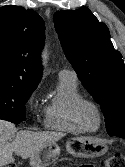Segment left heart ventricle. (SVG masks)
<instances>
[{"label":"left heart ventricle","mask_w":125,"mask_h":167,"mask_svg":"<svg viewBox=\"0 0 125 167\" xmlns=\"http://www.w3.org/2000/svg\"><path fill=\"white\" fill-rule=\"evenodd\" d=\"M82 120H83L84 125L91 129L95 128L98 124L97 114L95 110L90 106H86L83 109Z\"/></svg>","instance_id":"b2bd125f"}]
</instances>
